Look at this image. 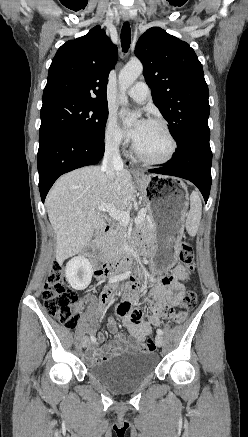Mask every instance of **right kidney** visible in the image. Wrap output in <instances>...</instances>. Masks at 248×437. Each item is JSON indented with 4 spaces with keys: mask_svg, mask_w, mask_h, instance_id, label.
Segmentation results:
<instances>
[{
    "mask_svg": "<svg viewBox=\"0 0 248 437\" xmlns=\"http://www.w3.org/2000/svg\"><path fill=\"white\" fill-rule=\"evenodd\" d=\"M92 266L83 256L72 258L66 265L65 276L75 290H84L92 279Z\"/></svg>",
    "mask_w": 248,
    "mask_h": 437,
    "instance_id": "right-kidney-1",
    "label": "right kidney"
}]
</instances>
